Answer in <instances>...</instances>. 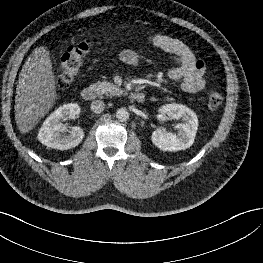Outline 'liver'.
<instances>
[{
	"instance_id": "1",
	"label": "liver",
	"mask_w": 263,
	"mask_h": 263,
	"mask_svg": "<svg viewBox=\"0 0 263 263\" xmlns=\"http://www.w3.org/2000/svg\"><path fill=\"white\" fill-rule=\"evenodd\" d=\"M56 81L49 51L35 48L19 74L15 97V120L21 134L35 127L57 99Z\"/></svg>"
}]
</instances>
